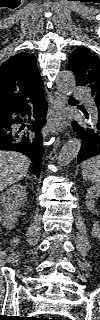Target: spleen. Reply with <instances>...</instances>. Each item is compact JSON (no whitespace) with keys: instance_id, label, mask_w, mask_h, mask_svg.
I'll return each mask as SVG.
<instances>
[{"instance_id":"1","label":"spleen","mask_w":100,"mask_h":320,"mask_svg":"<svg viewBox=\"0 0 100 320\" xmlns=\"http://www.w3.org/2000/svg\"><path fill=\"white\" fill-rule=\"evenodd\" d=\"M82 177L85 181L99 184L100 157H92L82 163Z\"/></svg>"}]
</instances>
